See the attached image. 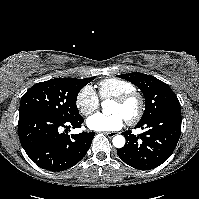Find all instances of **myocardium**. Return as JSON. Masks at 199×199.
Listing matches in <instances>:
<instances>
[{"label":"myocardium","mask_w":199,"mask_h":199,"mask_svg":"<svg viewBox=\"0 0 199 199\" xmlns=\"http://www.w3.org/2000/svg\"><path fill=\"white\" fill-rule=\"evenodd\" d=\"M133 100L136 102V110L126 118L131 124L136 123L144 113L145 99L143 95L137 90H133L113 98V101L120 105H126Z\"/></svg>","instance_id":"myocardium-1"}]
</instances>
